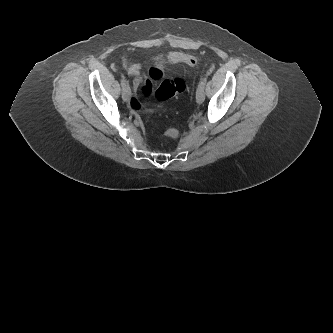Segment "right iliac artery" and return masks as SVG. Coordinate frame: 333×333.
Listing matches in <instances>:
<instances>
[{
	"label": "right iliac artery",
	"instance_id": "1",
	"mask_svg": "<svg viewBox=\"0 0 333 333\" xmlns=\"http://www.w3.org/2000/svg\"><path fill=\"white\" fill-rule=\"evenodd\" d=\"M121 86L123 89L127 86V82H126L124 76H122V79H121Z\"/></svg>",
	"mask_w": 333,
	"mask_h": 333
}]
</instances>
